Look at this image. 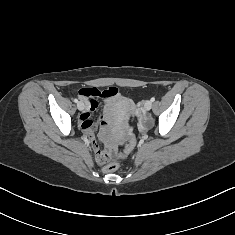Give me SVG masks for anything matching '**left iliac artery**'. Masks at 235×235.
Returning a JSON list of instances; mask_svg holds the SVG:
<instances>
[{"instance_id": "left-iliac-artery-1", "label": "left iliac artery", "mask_w": 235, "mask_h": 235, "mask_svg": "<svg viewBox=\"0 0 235 235\" xmlns=\"http://www.w3.org/2000/svg\"><path fill=\"white\" fill-rule=\"evenodd\" d=\"M154 101H155V98H154V97H152V98H151V102H154Z\"/></svg>"}]
</instances>
